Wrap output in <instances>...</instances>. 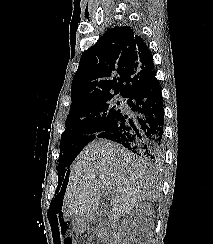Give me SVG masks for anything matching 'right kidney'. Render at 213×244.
Wrapping results in <instances>:
<instances>
[{"instance_id":"obj_1","label":"right kidney","mask_w":213,"mask_h":244,"mask_svg":"<svg viewBox=\"0 0 213 244\" xmlns=\"http://www.w3.org/2000/svg\"><path fill=\"white\" fill-rule=\"evenodd\" d=\"M143 208L150 209L151 207H150V205H145V204L141 203V204H139V205L132 211V213H131V217H132V216L135 217V216L139 215V211H141V209H143Z\"/></svg>"}]
</instances>
